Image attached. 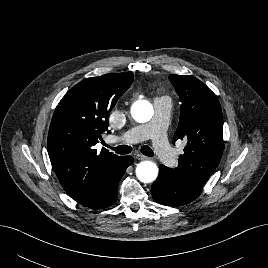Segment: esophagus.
<instances>
[{
  "instance_id": "34e87169",
  "label": "esophagus",
  "mask_w": 268,
  "mask_h": 268,
  "mask_svg": "<svg viewBox=\"0 0 268 268\" xmlns=\"http://www.w3.org/2000/svg\"><path fill=\"white\" fill-rule=\"evenodd\" d=\"M136 158H137L138 160H147V159H149L147 156L142 155V154H138Z\"/></svg>"
}]
</instances>
